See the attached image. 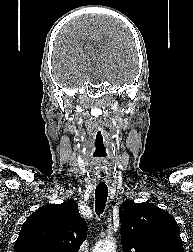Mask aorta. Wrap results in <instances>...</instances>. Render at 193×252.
Here are the masks:
<instances>
[{
  "label": "aorta",
  "instance_id": "aorta-1",
  "mask_svg": "<svg viewBox=\"0 0 193 252\" xmlns=\"http://www.w3.org/2000/svg\"><path fill=\"white\" fill-rule=\"evenodd\" d=\"M93 252H116V245L111 239L100 241L95 245Z\"/></svg>",
  "mask_w": 193,
  "mask_h": 252
}]
</instances>
